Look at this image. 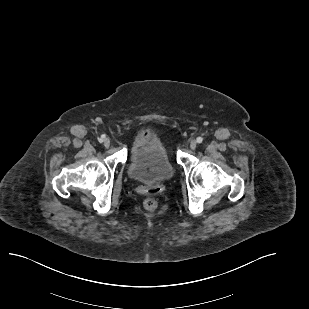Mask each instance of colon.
I'll return each instance as SVG.
<instances>
[{
    "label": "colon",
    "instance_id": "obj_1",
    "mask_svg": "<svg viewBox=\"0 0 309 309\" xmlns=\"http://www.w3.org/2000/svg\"><path fill=\"white\" fill-rule=\"evenodd\" d=\"M143 205L146 210L154 211L157 208V201L154 198H147Z\"/></svg>",
    "mask_w": 309,
    "mask_h": 309
}]
</instances>
